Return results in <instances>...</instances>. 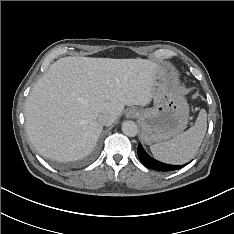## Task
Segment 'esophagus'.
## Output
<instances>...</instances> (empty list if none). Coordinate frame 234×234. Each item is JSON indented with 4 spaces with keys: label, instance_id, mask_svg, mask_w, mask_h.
Instances as JSON below:
<instances>
[{
    "label": "esophagus",
    "instance_id": "esophagus-1",
    "mask_svg": "<svg viewBox=\"0 0 234 234\" xmlns=\"http://www.w3.org/2000/svg\"><path fill=\"white\" fill-rule=\"evenodd\" d=\"M139 114V111L135 108H130L126 111V117L127 118H135Z\"/></svg>",
    "mask_w": 234,
    "mask_h": 234
}]
</instances>
